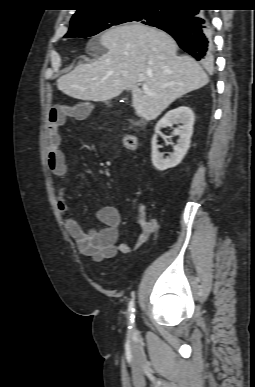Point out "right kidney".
<instances>
[{
  "label": "right kidney",
  "mask_w": 255,
  "mask_h": 387,
  "mask_svg": "<svg viewBox=\"0 0 255 387\" xmlns=\"http://www.w3.org/2000/svg\"><path fill=\"white\" fill-rule=\"evenodd\" d=\"M174 124L178 128L174 129V135H178L177 144L173 146L174 152L170 157L164 159L163 153L158 151L157 135L161 128L172 127ZM194 113L186 106H181L167 112L158 121L155 127V134L152 138V163L159 171H164L177 166L187 153L190 147V139L193 134Z\"/></svg>",
  "instance_id": "right-kidney-1"
}]
</instances>
